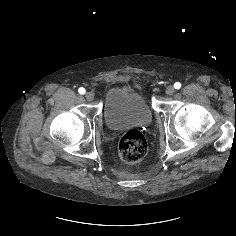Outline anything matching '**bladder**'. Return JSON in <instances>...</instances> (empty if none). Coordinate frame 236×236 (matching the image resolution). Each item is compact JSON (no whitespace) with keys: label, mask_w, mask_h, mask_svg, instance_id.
<instances>
[{"label":"bladder","mask_w":236,"mask_h":236,"mask_svg":"<svg viewBox=\"0 0 236 236\" xmlns=\"http://www.w3.org/2000/svg\"><path fill=\"white\" fill-rule=\"evenodd\" d=\"M103 114L106 125L118 130L129 125L145 126L153 118V110L145 95L127 87L112 89L106 96Z\"/></svg>","instance_id":"bladder-1"}]
</instances>
